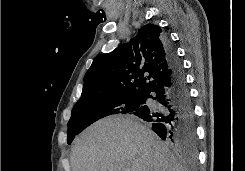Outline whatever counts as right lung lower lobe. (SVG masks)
Returning <instances> with one entry per match:
<instances>
[{
  "label": "right lung lower lobe",
  "instance_id": "obj_1",
  "mask_svg": "<svg viewBox=\"0 0 245 171\" xmlns=\"http://www.w3.org/2000/svg\"><path fill=\"white\" fill-rule=\"evenodd\" d=\"M165 49L170 75L142 94L143 103L132 114L149 122L162 140L194 150L197 144L194 108L182 63L167 38Z\"/></svg>",
  "mask_w": 245,
  "mask_h": 171
}]
</instances>
